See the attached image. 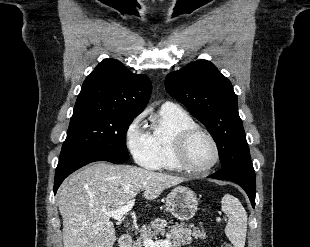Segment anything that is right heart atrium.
I'll return each mask as SVG.
<instances>
[{
    "mask_svg": "<svg viewBox=\"0 0 310 247\" xmlns=\"http://www.w3.org/2000/svg\"><path fill=\"white\" fill-rule=\"evenodd\" d=\"M144 118L145 113H141L132 120L125 132V142L135 161L149 168L154 166L155 160L152 153L149 133L142 128Z\"/></svg>",
    "mask_w": 310,
    "mask_h": 247,
    "instance_id": "d8ad5b80",
    "label": "right heart atrium"
}]
</instances>
